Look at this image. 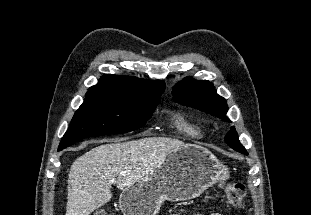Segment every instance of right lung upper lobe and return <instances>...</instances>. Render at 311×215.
<instances>
[{"label":"right lung upper lobe","mask_w":311,"mask_h":215,"mask_svg":"<svg viewBox=\"0 0 311 215\" xmlns=\"http://www.w3.org/2000/svg\"><path fill=\"white\" fill-rule=\"evenodd\" d=\"M165 90L161 80L148 81L132 76L105 74L87 94H108L136 99H155Z\"/></svg>","instance_id":"right-lung-upper-lobe-1"}]
</instances>
